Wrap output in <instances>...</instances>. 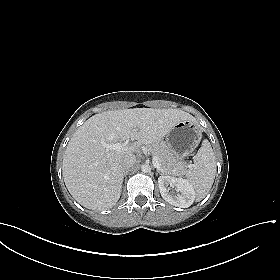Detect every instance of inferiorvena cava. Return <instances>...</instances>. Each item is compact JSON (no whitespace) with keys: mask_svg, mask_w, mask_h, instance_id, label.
<instances>
[{"mask_svg":"<svg viewBox=\"0 0 280 280\" xmlns=\"http://www.w3.org/2000/svg\"><path fill=\"white\" fill-rule=\"evenodd\" d=\"M135 163H136L135 155H126L121 162V167L123 172H127L131 167L134 166Z\"/></svg>","mask_w":280,"mask_h":280,"instance_id":"1","label":"inferior vena cava"}]
</instances>
